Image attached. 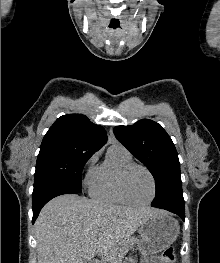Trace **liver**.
<instances>
[{
  "label": "liver",
  "instance_id": "6515ba94",
  "mask_svg": "<svg viewBox=\"0 0 220 263\" xmlns=\"http://www.w3.org/2000/svg\"><path fill=\"white\" fill-rule=\"evenodd\" d=\"M150 207L104 204L74 194L58 196L41 210L36 223L38 263H119L130 236L151 216Z\"/></svg>",
  "mask_w": 220,
  "mask_h": 263
}]
</instances>
